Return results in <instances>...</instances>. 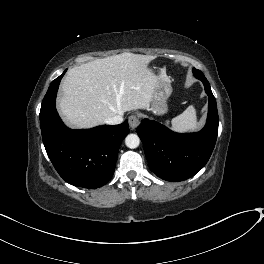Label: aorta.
I'll list each match as a JSON object with an SVG mask.
<instances>
[{
    "label": "aorta",
    "mask_w": 264,
    "mask_h": 264,
    "mask_svg": "<svg viewBox=\"0 0 264 264\" xmlns=\"http://www.w3.org/2000/svg\"><path fill=\"white\" fill-rule=\"evenodd\" d=\"M125 144L128 148L134 149V148H137L139 146L140 139H139L138 135H136V134H129L125 138Z\"/></svg>",
    "instance_id": "aorta-1"
}]
</instances>
